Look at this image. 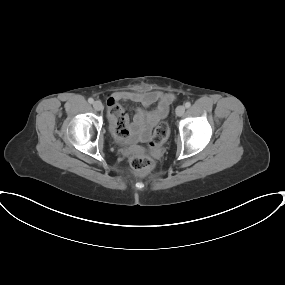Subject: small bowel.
Returning a JSON list of instances; mask_svg holds the SVG:
<instances>
[{
  "instance_id": "small-bowel-1",
  "label": "small bowel",
  "mask_w": 285,
  "mask_h": 285,
  "mask_svg": "<svg viewBox=\"0 0 285 285\" xmlns=\"http://www.w3.org/2000/svg\"><path fill=\"white\" fill-rule=\"evenodd\" d=\"M172 93L162 91H140V92H120L109 97V101H114L119 107L120 117L126 122L128 135L125 140L133 143L136 141L148 140L152 128L167 114L168 108L174 101ZM119 100L137 102L145 108L157 103L154 109L139 108L136 110L133 120L130 121L125 110L118 104ZM109 120L112 125L117 121V117L111 114L108 109Z\"/></svg>"
}]
</instances>
